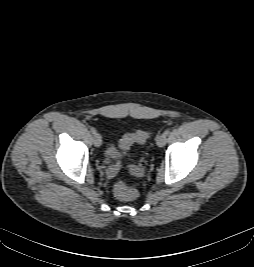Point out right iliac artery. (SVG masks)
Wrapping results in <instances>:
<instances>
[{"instance_id":"right-iliac-artery-1","label":"right iliac artery","mask_w":254,"mask_h":267,"mask_svg":"<svg viewBox=\"0 0 254 267\" xmlns=\"http://www.w3.org/2000/svg\"><path fill=\"white\" fill-rule=\"evenodd\" d=\"M90 131H91L93 134L96 133V129H95L94 127H91V128H90Z\"/></svg>"}]
</instances>
